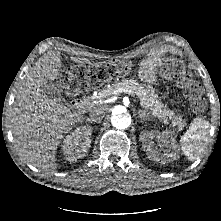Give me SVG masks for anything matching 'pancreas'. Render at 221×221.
I'll use <instances>...</instances> for the list:
<instances>
[{"instance_id": "pancreas-1", "label": "pancreas", "mask_w": 221, "mask_h": 221, "mask_svg": "<svg viewBox=\"0 0 221 221\" xmlns=\"http://www.w3.org/2000/svg\"><path fill=\"white\" fill-rule=\"evenodd\" d=\"M120 91L136 95L140 100V105L149 110V112L164 123L171 122V125L178 130H182L185 126V121L180 114L167 108L163 104L154 89L150 86H144L133 79L123 80L112 84L110 87L102 90L95 99L102 100L113 95H118Z\"/></svg>"}]
</instances>
